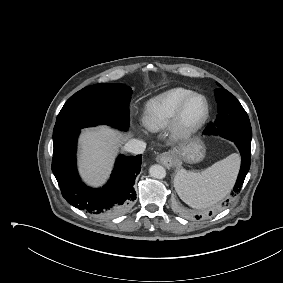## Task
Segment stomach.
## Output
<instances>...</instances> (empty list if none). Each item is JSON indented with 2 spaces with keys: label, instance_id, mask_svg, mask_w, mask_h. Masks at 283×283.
Returning <instances> with one entry per match:
<instances>
[{
  "label": "stomach",
  "instance_id": "stomach-1",
  "mask_svg": "<svg viewBox=\"0 0 283 283\" xmlns=\"http://www.w3.org/2000/svg\"><path fill=\"white\" fill-rule=\"evenodd\" d=\"M172 156L188 163H196L204 158L205 146L200 139H194L174 150Z\"/></svg>",
  "mask_w": 283,
  "mask_h": 283
}]
</instances>
